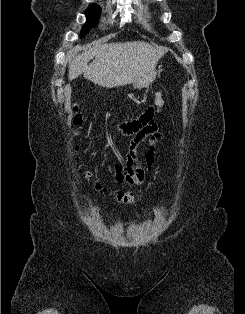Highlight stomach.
I'll return each mask as SVG.
<instances>
[{"instance_id":"1","label":"stomach","mask_w":245,"mask_h":314,"mask_svg":"<svg viewBox=\"0 0 245 314\" xmlns=\"http://www.w3.org/2000/svg\"><path fill=\"white\" fill-rule=\"evenodd\" d=\"M157 72L152 71L148 75L137 79L135 82H133V87L137 89L147 88L156 78Z\"/></svg>"}]
</instances>
